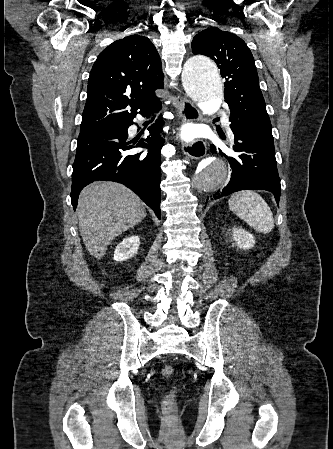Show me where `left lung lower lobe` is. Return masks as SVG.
<instances>
[{
	"instance_id": "0a47b994",
	"label": "left lung lower lobe",
	"mask_w": 333,
	"mask_h": 449,
	"mask_svg": "<svg viewBox=\"0 0 333 449\" xmlns=\"http://www.w3.org/2000/svg\"><path fill=\"white\" fill-rule=\"evenodd\" d=\"M229 121L234 133L233 150L236 154L226 155L219 148L214 152L229 162L232 168L231 179L223 190L210 196L211 199L252 189L272 192L279 203L281 187L271 129L242 121L233 113H230Z\"/></svg>"
}]
</instances>
